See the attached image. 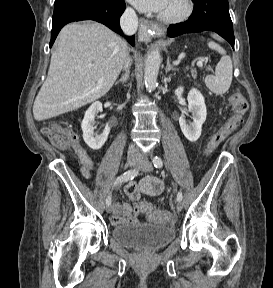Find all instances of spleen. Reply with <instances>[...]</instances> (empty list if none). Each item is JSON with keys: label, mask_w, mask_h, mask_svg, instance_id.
Listing matches in <instances>:
<instances>
[{"label": "spleen", "mask_w": 273, "mask_h": 288, "mask_svg": "<svg viewBox=\"0 0 273 288\" xmlns=\"http://www.w3.org/2000/svg\"><path fill=\"white\" fill-rule=\"evenodd\" d=\"M210 49L216 50L222 55L216 65L215 75H208L205 78L206 86L216 95H222L228 91L232 82V60L226 55V51L214 41L208 43Z\"/></svg>", "instance_id": "3e777b00"}]
</instances>
